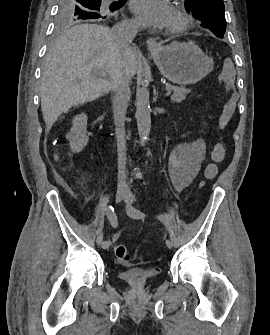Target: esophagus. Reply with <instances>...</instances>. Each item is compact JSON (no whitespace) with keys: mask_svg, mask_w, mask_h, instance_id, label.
Instances as JSON below:
<instances>
[{"mask_svg":"<svg viewBox=\"0 0 270 335\" xmlns=\"http://www.w3.org/2000/svg\"><path fill=\"white\" fill-rule=\"evenodd\" d=\"M146 43L151 50H158L160 47L155 38H149Z\"/></svg>","mask_w":270,"mask_h":335,"instance_id":"34e87169","label":"esophagus"}]
</instances>
